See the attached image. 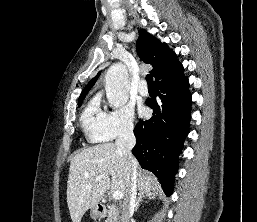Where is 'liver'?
<instances>
[{
	"label": "liver",
	"instance_id": "1",
	"mask_svg": "<svg viewBox=\"0 0 257 222\" xmlns=\"http://www.w3.org/2000/svg\"><path fill=\"white\" fill-rule=\"evenodd\" d=\"M96 177L101 180L95 182ZM137 187L139 192L149 193L156 187V181L140 172ZM109 188L122 192L124 199L130 190L127 160L116 144H98L76 154L71 160L67 181V204L72 222H81L84 213L95 207Z\"/></svg>",
	"mask_w": 257,
	"mask_h": 222
}]
</instances>
